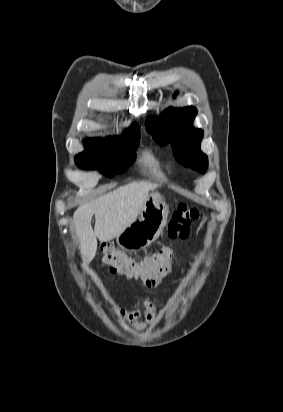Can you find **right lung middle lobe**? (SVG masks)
<instances>
[{
	"mask_svg": "<svg viewBox=\"0 0 283 412\" xmlns=\"http://www.w3.org/2000/svg\"><path fill=\"white\" fill-rule=\"evenodd\" d=\"M140 136L119 139L86 140V150L76 155L75 162L82 169L101 168L103 174L112 177L122 173L135 159Z\"/></svg>",
	"mask_w": 283,
	"mask_h": 412,
	"instance_id": "1",
	"label": "right lung middle lobe"
}]
</instances>
